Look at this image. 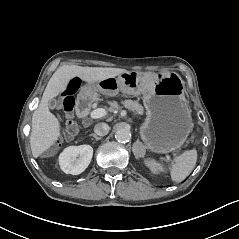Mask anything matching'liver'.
I'll return each mask as SVG.
<instances>
[{
	"label": "liver",
	"instance_id": "obj_1",
	"mask_svg": "<svg viewBox=\"0 0 239 239\" xmlns=\"http://www.w3.org/2000/svg\"><path fill=\"white\" fill-rule=\"evenodd\" d=\"M126 72H128L127 69L117 67L60 66L49 79L39 106L32 115L30 147L33 157L37 159L55 145L61 137V123L48 108L50 99L65 92L70 81L75 78L87 84H95ZM108 115L106 113L105 118Z\"/></svg>",
	"mask_w": 239,
	"mask_h": 239
}]
</instances>
